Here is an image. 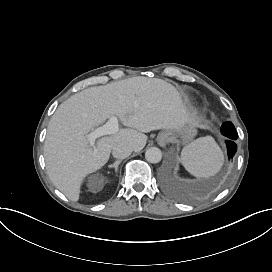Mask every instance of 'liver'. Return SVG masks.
I'll list each match as a JSON object with an SVG mask.
<instances>
[{
  "label": "liver",
  "mask_w": 272,
  "mask_h": 272,
  "mask_svg": "<svg viewBox=\"0 0 272 272\" xmlns=\"http://www.w3.org/2000/svg\"><path fill=\"white\" fill-rule=\"evenodd\" d=\"M112 115L127 128L91 146L86 135ZM187 123L198 125L177 89L162 79L137 76L84 89L60 104L48 124L44 156L49 178L76 202L83 179L107 163L115 145L138 152L147 142L144 133L178 130Z\"/></svg>",
  "instance_id": "obj_1"
}]
</instances>
